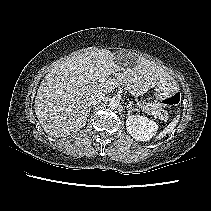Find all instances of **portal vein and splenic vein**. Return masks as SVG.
I'll list each match as a JSON object with an SVG mask.
<instances>
[{
  "mask_svg": "<svg viewBox=\"0 0 211 211\" xmlns=\"http://www.w3.org/2000/svg\"><path fill=\"white\" fill-rule=\"evenodd\" d=\"M103 81H104V79H101V82H103ZM138 107H139L142 111L150 112V113H151L152 115H154V116L157 115V113H156L154 110L149 109V108H147V107H145V106H143V105H141V104H138Z\"/></svg>",
  "mask_w": 211,
  "mask_h": 211,
  "instance_id": "18ae733b",
  "label": "portal vein and splenic vein"
}]
</instances>
